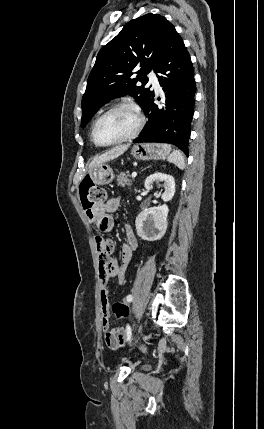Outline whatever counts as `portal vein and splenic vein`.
<instances>
[{
	"label": "portal vein and splenic vein",
	"mask_w": 264,
	"mask_h": 429,
	"mask_svg": "<svg viewBox=\"0 0 264 429\" xmlns=\"http://www.w3.org/2000/svg\"><path fill=\"white\" fill-rule=\"evenodd\" d=\"M137 176V172L132 173V178H135Z\"/></svg>",
	"instance_id": "obj_1"
}]
</instances>
